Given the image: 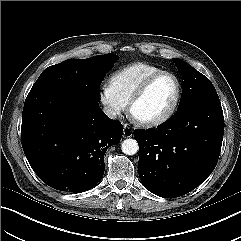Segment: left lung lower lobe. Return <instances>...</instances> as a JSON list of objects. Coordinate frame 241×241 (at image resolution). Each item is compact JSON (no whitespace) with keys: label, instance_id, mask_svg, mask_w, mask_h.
<instances>
[{"label":"left lung lower lobe","instance_id":"obj_1","mask_svg":"<svg viewBox=\"0 0 241 241\" xmlns=\"http://www.w3.org/2000/svg\"><path fill=\"white\" fill-rule=\"evenodd\" d=\"M223 134L222 107L213 104L187 106L157 129L135 130L141 182L164 198L189 193L214 170Z\"/></svg>","mask_w":241,"mask_h":241}]
</instances>
